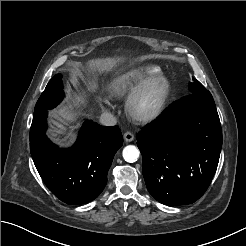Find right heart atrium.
I'll return each mask as SVG.
<instances>
[{
    "label": "right heart atrium",
    "instance_id": "1",
    "mask_svg": "<svg viewBox=\"0 0 246 246\" xmlns=\"http://www.w3.org/2000/svg\"><path fill=\"white\" fill-rule=\"evenodd\" d=\"M100 102H101V105L104 107L108 105V101L106 99H101Z\"/></svg>",
    "mask_w": 246,
    "mask_h": 246
}]
</instances>
